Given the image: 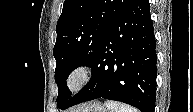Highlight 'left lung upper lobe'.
<instances>
[{
  "instance_id": "5c2ea615",
  "label": "left lung upper lobe",
  "mask_w": 193,
  "mask_h": 112,
  "mask_svg": "<svg viewBox=\"0 0 193 112\" xmlns=\"http://www.w3.org/2000/svg\"><path fill=\"white\" fill-rule=\"evenodd\" d=\"M132 1L65 0L53 49L58 108L71 97L66 84L70 72L90 65L106 33Z\"/></svg>"
}]
</instances>
